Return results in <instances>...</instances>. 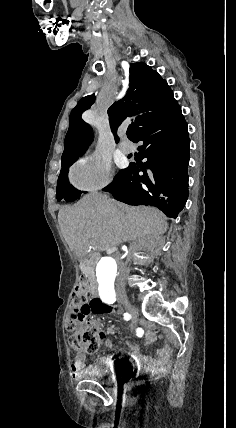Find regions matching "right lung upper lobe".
<instances>
[{"label":"right lung upper lobe","mask_w":236,"mask_h":428,"mask_svg":"<svg viewBox=\"0 0 236 428\" xmlns=\"http://www.w3.org/2000/svg\"><path fill=\"white\" fill-rule=\"evenodd\" d=\"M129 86L126 96L111 105L107 112L114 134L126 118L133 117V130L128 135L131 139L148 122L169 113L178 104L166 80L145 63L131 64ZM94 100V95L83 97L71 111L61 170L83 155L92 140V129L81 119V114L90 108ZM115 139L118 140L116 135Z\"/></svg>","instance_id":"1"}]
</instances>
